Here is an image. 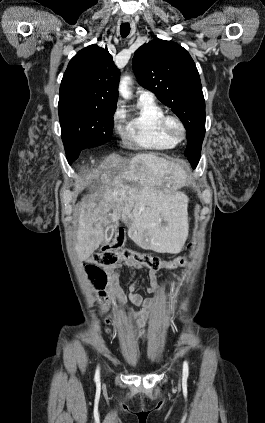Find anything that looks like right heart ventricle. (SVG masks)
<instances>
[{"label":"right heart ventricle","instance_id":"e07e8e85","mask_svg":"<svg viewBox=\"0 0 265 423\" xmlns=\"http://www.w3.org/2000/svg\"><path fill=\"white\" fill-rule=\"evenodd\" d=\"M164 110L154 100H138L137 111L126 123L122 137L126 144L153 151H166L176 147L177 142L162 131L160 122Z\"/></svg>","mask_w":265,"mask_h":423}]
</instances>
